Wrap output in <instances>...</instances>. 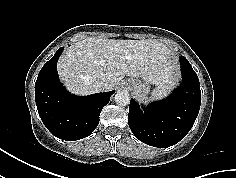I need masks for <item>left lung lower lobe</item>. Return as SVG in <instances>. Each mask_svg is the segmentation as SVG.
I'll return each mask as SVG.
<instances>
[{"label": "left lung lower lobe", "mask_w": 236, "mask_h": 178, "mask_svg": "<svg viewBox=\"0 0 236 178\" xmlns=\"http://www.w3.org/2000/svg\"><path fill=\"white\" fill-rule=\"evenodd\" d=\"M182 83L165 100L151 103L143 113L131 99L128 124L141 142L154 147H169L183 139L192 128L201 103L197 74L184 56L179 58Z\"/></svg>", "instance_id": "0a47b994"}]
</instances>
